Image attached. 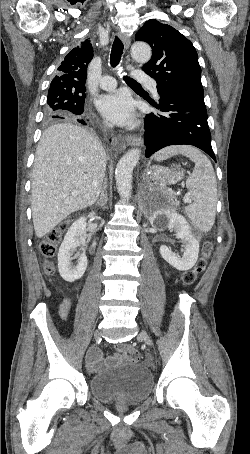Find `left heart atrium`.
<instances>
[{"label": "left heart atrium", "instance_id": "obj_1", "mask_svg": "<svg viewBox=\"0 0 250 454\" xmlns=\"http://www.w3.org/2000/svg\"><path fill=\"white\" fill-rule=\"evenodd\" d=\"M98 109L106 119L118 125H127L134 117L132 99L123 91L100 97Z\"/></svg>", "mask_w": 250, "mask_h": 454}]
</instances>
